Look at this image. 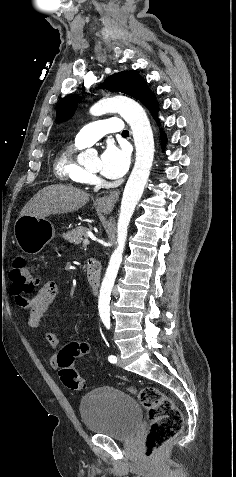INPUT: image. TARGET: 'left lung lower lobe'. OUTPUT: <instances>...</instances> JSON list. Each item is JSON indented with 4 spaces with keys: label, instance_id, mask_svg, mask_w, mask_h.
I'll return each mask as SVG.
<instances>
[{
    "label": "left lung lower lobe",
    "instance_id": "0a47b994",
    "mask_svg": "<svg viewBox=\"0 0 236 477\" xmlns=\"http://www.w3.org/2000/svg\"><path fill=\"white\" fill-rule=\"evenodd\" d=\"M148 109L150 113L152 114L153 118L156 120V122H159V119L157 118V112L159 109L158 103L155 100V96L153 97L152 101L148 105ZM166 143V136L165 134H162V146L164 147Z\"/></svg>",
    "mask_w": 236,
    "mask_h": 477
}]
</instances>
